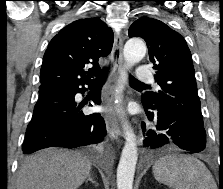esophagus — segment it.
<instances>
[{"mask_svg": "<svg viewBox=\"0 0 223 189\" xmlns=\"http://www.w3.org/2000/svg\"><path fill=\"white\" fill-rule=\"evenodd\" d=\"M113 69L110 75V81L116 82L119 75L124 72L123 68V38L120 33L115 35L113 49L111 53ZM113 85L109 86L107 95L105 96V112L104 120L106 122L109 136L117 139L121 135V130L113 108Z\"/></svg>", "mask_w": 223, "mask_h": 189, "instance_id": "esophagus-1", "label": "esophagus"}]
</instances>
